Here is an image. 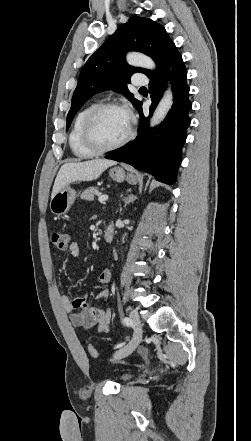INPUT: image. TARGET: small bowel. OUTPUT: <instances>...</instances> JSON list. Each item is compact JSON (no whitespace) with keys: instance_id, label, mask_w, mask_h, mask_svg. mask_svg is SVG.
<instances>
[{"instance_id":"small-bowel-1","label":"small bowel","mask_w":251,"mask_h":441,"mask_svg":"<svg viewBox=\"0 0 251 441\" xmlns=\"http://www.w3.org/2000/svg\"><path fill=\"white\" fill-rule=\"evenodd\" d=\"M67 250L71 257L78 258L80 256V246L77 242H70ZM111 280V272L106 269L98 276V282L107 284ZM109 296V291L103 289L96 297L97 301H106ZM64 310L69 313V319L74 327L89 330L97 328L100 332H107L110 326L111 314L108 308H103L99 304L96 306H89L86 296L76 297L71 299L68 295L62 294L59 298Z\"/></svg>"}]
</instances>
